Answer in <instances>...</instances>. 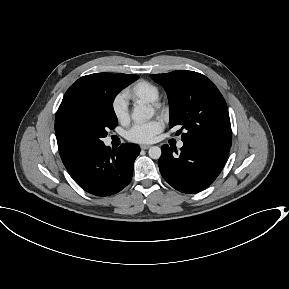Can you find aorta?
I'll return each mask as SVG.
<instances>
[{
	"label": "aorta",
	"mask_w": 289,
	"mask_h": 289,
	"mask_svg": "<svg viewBox=\"0 0 289 289\" xmlns=\"http://www.w3.org/2000/svg\"><path fill=\"white\" fill-rule=\"evenodd\" d=\"M153 116V110L144 106V105H138L134 107L132 112V119L136 123H143L147 120H149ZM148 154L150 158L152 159H159L162 151L161 148L158 146H152L150 147Z\"/></svg>",
	"instance_id": "obj_1"
}]
</instances>
